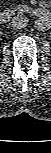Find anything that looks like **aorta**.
<instances>
[{
    "mask_svg": "<svg viewBox=\"0 0 51 153\" xmlns=\"http://www.w3.org/2000/svg\"><path fill=\"white\" fill-rule=\"evenodd\" d=\"M51 27V20L49 17H39L38 19H36L35 21V28L38 31H47L49 30Z\"/></svg>",
    "mask_w": 51,
    "mask_h": 153,
    "instance_id": "aorta-1",
    "label": "aorta"
}]
</instances>
